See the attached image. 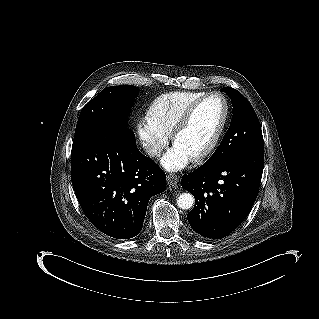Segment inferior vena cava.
Listing matches in <instances>:
<instances>
[{
    "label": "inferior vena cava",
    "mask_w": 319,
    "mask_h": 319,
    "mask_svg": "<svg viewBox=\"0 0 319 319\" xmlns=\"http://www.w3.org/2000/svg\"><path fill=\"white\" fill-rule=\"evenodd\" d=\"M143 150L150 157L160 156L162 153V148L152 143H144Z\"/></svg>",
    "instance_id": "obj_1"
}]
</instances>
